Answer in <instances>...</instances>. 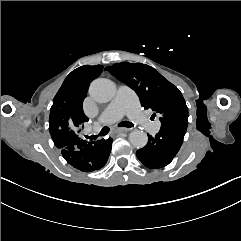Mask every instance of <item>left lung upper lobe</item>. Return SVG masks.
I'll return each instance as SVG.
<instances>
[{"mask_svg": "<svg viewBox=\"0 0 241 241\" xmlns=\"http://www.w3.org/2000/svg\"><path fill=\"white\" fill-rule=\"evenodd\" d=\"M132 88L145 109L160 113L161 125L188 124V108L179 89L153 67L142 63H116L105 68Z\"/></svg>", "mask_w": 241, "mask_h": 241, "instance_id": "5c2ea615", "label": "left lung upper lobe"}]
</instances>
